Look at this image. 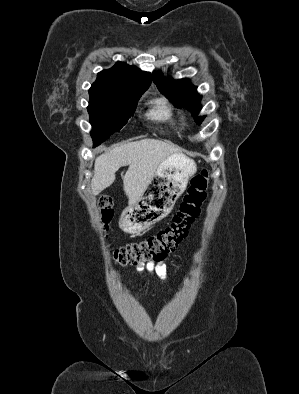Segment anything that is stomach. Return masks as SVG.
I'll list each match as a JSON object with an SVG mask.
<instances>
[{
    "label": "stomach",
    "instance_id": "stomach-1",
    "mask_svg": "<svg viewBox=\"0 0 299 394\" xmlns=\"http://www.w3.org/2000/svg\"><path fill=\"white\" fill-rule=\"evenodd\" d=\"M196 171L194 160L182 153H173L166 157L158 166L140 200L122 212L120 228L126 233L138 234L165 218Z\"/></svg>",
    "mask_w": 299,
    "mask_h": 394
}]
</instances>
